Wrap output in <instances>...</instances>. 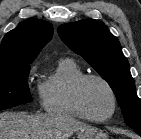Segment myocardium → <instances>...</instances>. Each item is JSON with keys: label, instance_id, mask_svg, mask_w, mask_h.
Listing matches in <instances>:
<instances>
[{"label": "myocardium", "instance_id": "f54148a6", "mask_svg": "<svg viewBox=\"0 0 141 139\" xmlns=\"http://www.w3.org/2000/svg\"><path fill=\"white\" fill-rule=\"evenodd\" d=\"M89 80L100 81L102 84H104L106 86V88L108 89V91L111 95L112 109H111L110 114L104 118L92 117L91 115L88 114V112L86 111V109L84 107L83 100H82V90H83L85 83ZM72 98H73V102H74L76 109L82 115V117L86 120H89V121L95 122V123H104V122L109 121L114 116L116 109H117V95H116V92H115L113 86L110 84V82L106 78H104L103 76L98 75V74H84L83 76H81L75 82V84L73 86Z\"/></svg>", "mask_w": 141, "mask_h": 139}]
</instances>
